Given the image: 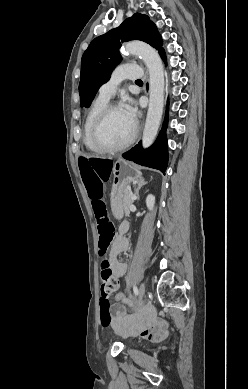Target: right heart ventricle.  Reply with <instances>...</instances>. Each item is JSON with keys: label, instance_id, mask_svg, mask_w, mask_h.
I'll return each instance as SVG.
<instances>
[{"label": "right heart ventricle", "instance_id": "right-heart-ventricle-1", "mask_svg": "<svg viewBox=\"0 0 248 389\" xmlns=\"http://www.w3.org/2000/svg\"><path fill=\"white\" fill-rule=\"evenodd\" d=\"M107 99L98 96L91 104L84 121L83 126V142L85 146L92 151L101 152L92 141V128L96 118L102 109L108 104Z\"/></svg>", "mask_w": 248, "mask_h": 389}]
</instances>
